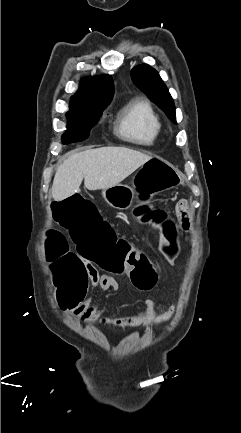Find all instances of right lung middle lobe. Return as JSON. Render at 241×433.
<instances>
[{
  "instance_id": "1",
  "label": "right lung middle lobe",
  "mask_w": 241,
  "mask_h": 433,
  "mask_svg": "<svg viewBox=\"0 0 241 433\" xmlns=\"http://www.w3.org/2000/svg\"><path fill=\"white\" fill-rule=\"evenodd\" d=\"M107 106L70 104V110L66 114L68 126L62 136L63 144L85 140Z\"/></svg>"
}]
</instances>
